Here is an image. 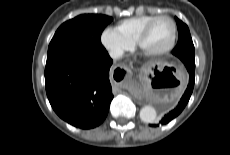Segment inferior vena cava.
I'll return each instance as SVG.
<instances>
[{
    "label": "inferior vena cava",
    "instance_id": "602c4592",
    "mask_svg": "<svg viewBox=\"0 0 230 155\" xmlns=\"http://www.w3.org/2000/svg\"><path fill=\"white\" fill-rule=\"evenodd\" d=\"M109 55L112 59H119L123 56L122 49H112L109 51Z\"/></svg>",
    "mask_w": 230,
    "mask_h": 155
}]
</instances>
